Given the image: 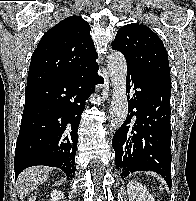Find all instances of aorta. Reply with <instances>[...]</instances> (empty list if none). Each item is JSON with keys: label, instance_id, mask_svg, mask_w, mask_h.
Returning a JSON list of instances; mask_svg holds the SVG:
<instances>
[{"label": "aorta", "instance_id": "1", "mask_svg": "<svg viewBox=\"0 0 196 201\" xmlns=\"http://www.w3.org/2000/svg\"><path fill=\"white\" fill-rule=\"evenodd\" d=\"M107 68L113 86L109 121L114 129H118L124 123L128 114L127 65L123 54L119 51L111 52L107 57Z\"/></svg>", "mask_w": 196, "mask_h": 201}]
</instances>
